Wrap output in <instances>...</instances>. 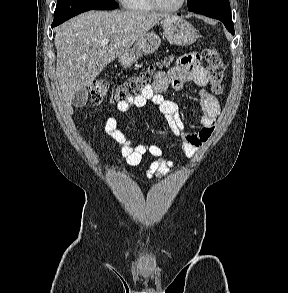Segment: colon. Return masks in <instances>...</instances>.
Here are the masks:
<instances>
[{
    "label": "colon",
    "instance_id": "colon-1",
    "mask_svg": "<svg viewBox=\"0 0 288 293\" xmlns=\"http://www.w3.org/2000/svg\"><path fill=\"white\" fill-rule=\"evenodd\" d=\"M203 56L207 63L211 92L220 96L223 92L222 81L225 65L219 52L214 47L205 49ZM169 62L170 60L166 59L162 63L150 66L122 83L113 86L107 79L95 81L91 87V102L96 105L102 103L108 93H110V100L113 103L123 102L139 95L146 87L151 85L152 77L156 73L157 67L167 66Z\"/></svg>",
    "mask_w": 288,
    "mask_h": 293
}]
</instances>
